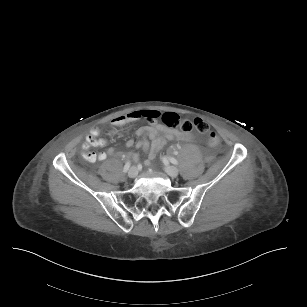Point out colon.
Returning a JSON list of instances; mask_svg holds the SVG:
<instances>
[{
    "label": "colon",
    "instance_id": "5ec220e1",
    "mask_svg": "<svg viewBox=\"0 0 307 307\" xmlns=\"http://www.w3.org/2000/svg\"><path fill=\"white\" fill-rule=\"evenodd\" d=\"M161 120L166 126L179 129L182 132H190L195 129L198 133L207 137L208 143L211 146H216L219 143L218 134L212 131L207 123L201 118L182 120L175 113H165L161 116Z\"/></svg>",
    "mask_w": 307,
    "mask_h": 307
}]
</instances>
